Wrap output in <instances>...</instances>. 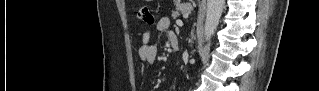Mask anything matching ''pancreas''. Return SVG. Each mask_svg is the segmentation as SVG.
Returning a JSON list of instances; mask_svg holds the SVG:
<instances>
[{"label":"pancreas","mask_w":319,"mask_h":91,"mask_svg":"<svg viewBox=\"0 0 319 91\" xmlns=\"http://www.w3.org/2000/svg\"><path fill=\"white\" fill-rule=\"evenodd\" d=\"M179 11L182 13H190L192 11V7L188 4H179L176 11L172 14L173 18H177L179 16Z\"/></svg>","instance_id":"1"}]
</instances>
